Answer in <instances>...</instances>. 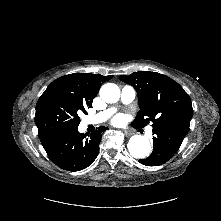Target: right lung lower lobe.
<instances>
[{"instance_id": "1", "label": "right lung lower lobe", "mask_w": 221, "mask_h": 221, "mask_svg": "<svg viewBox=\"0 0 221 221\" xmlns=\"http://www.w3.org/2000/svg\"><path fill=\"white\" fill-rule=\"evenodd\" d=\"M106 127L86 137L78 129L56 133L41 143L49 158L60 168L68 171H79L90 166L99 153L102 132Z\"/></svg>"}]
</instances>
